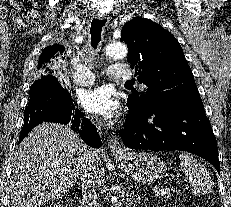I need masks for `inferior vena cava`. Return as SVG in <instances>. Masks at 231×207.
<instances>
[{"label": "inferior vena cava", "mask_w": 231, "mask_h": 207, "mask_svg": "<svg viewBox=\"0 0 231 207\" xmlns=\"http://www.w3.org/2000/svg\"><path fill=\"white\" fill-rule=\"evenodd\" d=\"M101 163L100 157L94 150L87 152V166L83 169L81 179L82 204L85 207H98L96 183L93 176L94 166Z\"/></svg>", "instance_id": "obj_1"}]
</instances>
